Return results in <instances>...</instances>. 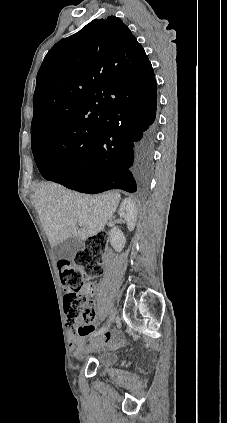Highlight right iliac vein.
Segmentation results:
<instances>
[{
	"instance_id": "right-iliac-vein-1",
	"label": "right iliac vein",
	"mask_w": 227,
	"mask_h": 423,
	"mask_svg": "<svg viewBox=\"0 0 227 423\" xmlns=\"http://www.w3.org/2000/svg\"><path fill=\"white\" fill-rule=\"evenodd\" d=\"M114 319H115V310H113V311L110 313L109 318H108V322H109V323H112V322L114 321ZM104 332H105V331H104ZM104 332H103L101 335H103V334H104Z\"/></svg>"
}]
</instances>
